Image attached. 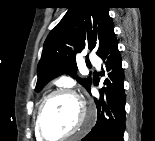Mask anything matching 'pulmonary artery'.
<instances>
[{"mask_svg":"<svg viewBox=\"0 0 155 141\" xmlns=\"http://www.w3.org/2000/svg\"><path fill=\"white\" fill-rule=\"evenodd\" d=\"M89 60L92 64L96 65V66H99L100 65V59L95 56V55H90L89 56Z\"/></svg>","mask_w":155,"mask_h":141,"instance_id":"pulmonary-artery-1","label":"pulmonary artery"}]
</instances>
